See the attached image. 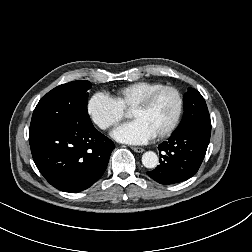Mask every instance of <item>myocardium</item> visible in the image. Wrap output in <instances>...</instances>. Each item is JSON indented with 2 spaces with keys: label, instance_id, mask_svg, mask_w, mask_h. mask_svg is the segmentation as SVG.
<instances>
[{
  "label": "myocardium",
  "instance_id": "myocardium-1",
  "mask_svg": "<svg viewBox=\"0 0 252 252\" xmlns=\"http://www.w3.org/2000/svg\"><path fill=\"white\" fill-rule=\"evenodd\" d=\"M165 91H171L175 94L177 98V110L170 125L166 129L155 135L158 138H165L170 134H172L180 122L184 109V97L181 91L175 86L163 85L162 87L148 93L141 101L135 104L131 109V111L147 109L153 103L155 98Z\"/></svg>",
  "mask_w": 252,
  "mask_h": 252
}]
</instances>
